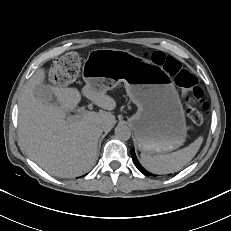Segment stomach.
Here are the masks:
<instances>
[{"label": "stomach", "instance_id": "obj_1", "mask_svg": "<svg viewBox=\"0 0 231 231\" xmlns=\"http://www.w3.org/2000/svg\"><path fill=\"white\" fill-rule=\"evenodd\" d=\"M82 75L86 85L98 92L124 82L138 108L129 122L140 151L160 154L183 145L184 109L171 76L161 66L125 50L96 49L85 60Z\"/></svg>", "mask_w": 231, "mask_h": 231}]
</instances>
